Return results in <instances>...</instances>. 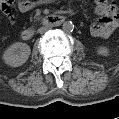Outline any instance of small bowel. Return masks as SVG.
I'll use <instances>...</instances> for the list:
<instances>
[{
    "label": "small bowel",
    "mask_w": 119,
    "mask_h": 119,
    "mask_svg": "<svg viewBox=\"0 0 119 119\" xmlns=\"http://www.w3.org/2000/svg\"><path fill=\"white\" fill-rule=\"evenodd\" d=\"M41 3L43 2L7 0L2 3V9L7 15L8 21L11 24H14L16 22V16L13 14V10L20 13H26L33 10ZM94 6L101 18L91 23L90 32L94 37L107 38L119 25L117 6L114 2L107 0H95Z\"/></svg>",
    "instance_id": "obj_1"
}]
</instances>
